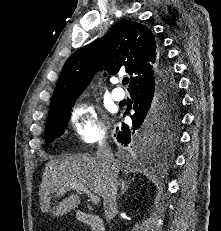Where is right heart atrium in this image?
Instances as JSON below:
<instances>
[{
	"instance_id": "right-heart-atrium-1",
	"label": "right heart atrium",
	"mask_w": 221,
	"mask_h": 231,
	"mask_svg": "<svg viewBox=\"0 0 221 231\" xmlns=\"http://www.w3.org/2000/svg\"><path fill=\"white\" fill-rule=\"evenodd\" d=\"M72 125L77 136L86 143L100 141L106 136V128L92 105L81 103L72 114Z\"/></svg>"
}]
</instances>
